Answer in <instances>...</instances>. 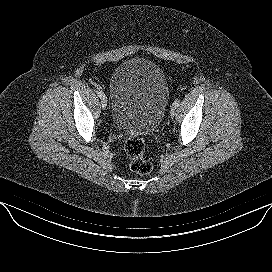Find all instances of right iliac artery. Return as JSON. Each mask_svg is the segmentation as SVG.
<instances>
[{"label": "right iliac artery", "instance_id": "obj_1", "mask_svg": "<svg viewBox=\"0 0 272 272\" xmlns=\"http://www.w3.org/2000/svg\"><path fill=\"white\" fill-rule=\"evenodd\" d=\"M97 94H98V96H99L100 98H102V97L105 96L104 93H103L100 89L97 90Z\"/></svg>", "mask_w": 272, "mask_h": 272}]
</instances>
